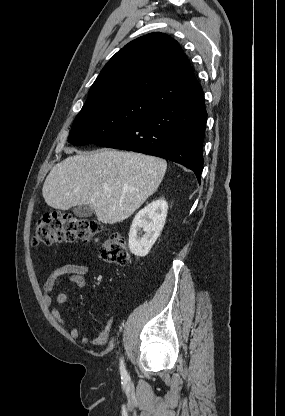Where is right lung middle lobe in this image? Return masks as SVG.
I'll list each match as a JSON object with an SVG mask.
<instances>
[{"label": "right lung middle lobe", "mask_w": 285, "mask_h": 416, "mask_svg": "<svg viewBox=\"0 0 285 416\" xmlns=\"http://www.w3.org/2000/svg\"><path fill=\"white\" fill-rule=\"evenodd\" d=\"M160 105L138 96L106 101L82 108L76 116L68 142L87 145L105 139L140 120Z\"/></svg>", "instance_id": "1"}]
</instances>
